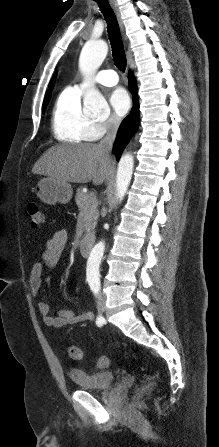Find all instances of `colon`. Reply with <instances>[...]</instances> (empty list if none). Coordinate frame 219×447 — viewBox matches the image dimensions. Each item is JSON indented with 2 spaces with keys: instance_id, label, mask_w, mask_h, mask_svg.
<instances>
[{
  "instance_id": "obj_1",
  "label": "colon",
  "mask_w": 219,
  "mask_h": 447,
  "mask_svg": "<svg viewBox=\"0 0 219 447\" xmlns=\"http://www.w3.org/2000/svg\"><path fill=\"white\" fill-rule=\"evenodd\" d=\"M27 213L29 216V223L32 228H38L39 226L42 225V223L44 221V215H43L41 206L38 203L30 202L27 205ZM67 352H68V355L72 359H75V360H81L83 357L81 349L75 345H69L67 348ZM109 364H110V361L105 356H101L98 360V365L101 368H106L109 366ZM153 386H154V384L152 382H148V383L144 384L138 391L136 397L141 398L144 395L148 394L152 390Z\"/></svg>"
}]
</instances>
